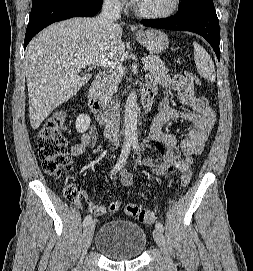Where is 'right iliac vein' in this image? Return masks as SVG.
<instances>
[{
    "mask_svg": "<svg viewBox=\"0 0 253 271\" xmlns=\"http://www.w3.org/2000/svg\"><path fill=\"white\" fill-rule=\"evenodd\" d=\"M95 229V221L90 222L88 225L85 226V229L83 231L82 235V241H81V253L84 255L89 248L93 233Z\"/></svg>",
    "mask_w": 253,
    "mask_h": 271,
    "instance_id": "1",
    "label": "right iliac vein"
}]
</instances>
